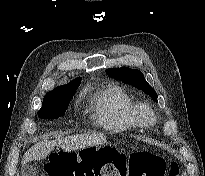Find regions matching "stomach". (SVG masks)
Returning a JSON list of instances; mask_svg holds the SVG:
<instances>
[{"label":"stomach","instance_id":"0dacf381","mask_svg":"<svg viewBox=\"0 0 205 176\" xmlns=\"http://www.w3.org/2000/svg\"><path fill=\"white\" fill-rule=\"evenodd\" d=\"M104 148H105L104 146H100V147L91 146V147H87V148L82 149V151H90L92 149H95V151H99V150H102Z\"/></svg>","mask_w":205,"mask_h":176}]
</instances>
